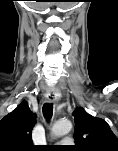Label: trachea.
<instances>
[{
	"mask_svg": "<svg viewBox=\"0 0 118 151\" xmlns=\"http://www.w3.org/2000/svg\"><path fill=\"white\" fill-rule=\"evenodd\" d=\"M43 115L47 120H50L53 114V104L45 103L42 108Z\"/></svg>",
	"mask_w": 118,
	"mask_h": 151,
	"instance_id": "trachea-1",
	"label": "trachea"
}]
</instances>
